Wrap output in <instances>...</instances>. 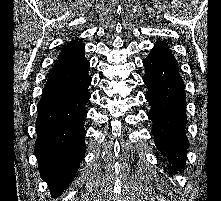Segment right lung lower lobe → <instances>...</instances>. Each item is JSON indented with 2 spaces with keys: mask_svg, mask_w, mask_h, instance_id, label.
Segmentation results:
<instances>
[{
  "mask_svg": "<svg viewBox=\"0 0 221 201\" xmlns=\"http://www.w3.org/2000/svg\"><path fill=\"white\" fill-rule=\"evenodd\" d=\"M90 63H57L37 106L35 153L41 177L58 197L75 177L86 146L83 121L90 99Z\"/></svg>",
  "mask_w": 221,
  "mask_h": 201,
  "instance_id": "1",
  "label": "right lung lower lobe"
}]
</instances>
